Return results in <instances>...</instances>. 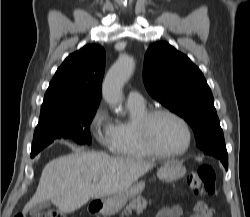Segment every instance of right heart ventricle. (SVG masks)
I'll list each match as a JSON object with an SVG mask.
<instances>
[{"mask_svg": "<svg viewBox=\"0 0 250 217\" xmlns=\"http://www.w3.org/2000/svg\"><path fill=\"white\" fill-rule=\"evenodd\" d=\"M131 118L128 121H118L114 124L115 139L113 152L122 157L147 159L153 155L142 144L137 122L147 112L145 104L137 106L128 104Z\"/></svg>", "mask_w": 250, "mask_h": 217, "instance_id": "right-heart-ventricle-1", "label": "right heart ventricle"}]
</instances>
